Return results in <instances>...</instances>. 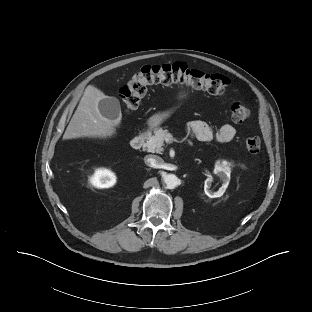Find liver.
<instances>
[{
  "mask_svg": "<svg viewBox=\"0 0 312 312\" xmlns=\"http://www.w3.org/2000/svg\"><path fill=\"white\" fill-rule=\"evenodd\" d=\"M107 96L98 88L89 85L75 111L63 139L81 137L107 138L116 133V122L104 117L98 108L99 102Z\"/></svg>",
  "mask_w": 312,
  "mask_h": 312,
  "instance_id": "liver-1",
  "label": "liver"
}]
</instances>
